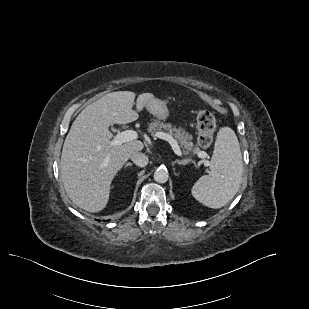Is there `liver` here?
I'll list each match as a JSON object with an SVG mask.
<instances>
[{
    "mask_svg": "<svg viewBox=\"0 0 309 309\" xmlns=\"http://www.w3.org/2000/svg\"><path fill=\"white\" fill-rule=\"evenodd\" d=\"M135 96L131 91L104 95L81 111L66 136L61 179L69 198L86 211L94 213L106 207L113 178L133 153L144 148L136 139L117 146L110 144L113 135L109 127L137 120L138 112L155 99L151 93L140 94L134 111Z\"/></svg>",
    "mask_w": 309,
    "mask_h": 309,
    "instance_id": "liver-1",
    "label": "liver"
}]
</instances>
